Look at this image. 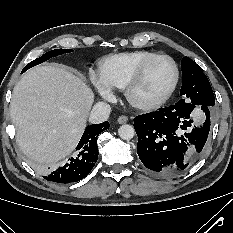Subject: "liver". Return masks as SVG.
<instances>
[{
    "mask_svg": "<svg viewBox=\"0 0 233 233\" xmlns=\"http://www.w3.org/2000/svg\"><path fill=\"white\" fill-rule=\"evenodd\" d=\"M93 101L92 90L73 71L59 65L30 69L10 103L18 146L39 164L65 158L82 136Z\"/></svg>",
    "mask_w": 233,
    "mask_h": 233,
    "instance_id": "6515ba94",
    "label": "liver"
}]
</instances>
